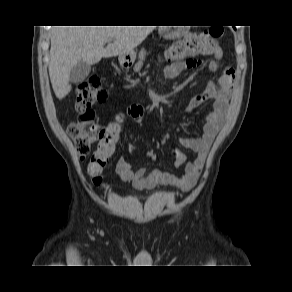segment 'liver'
<instances>
[{"mask_svg": "<svg viewBox=\"0 0 292 292\" xmlns=\"http://www.w3.org/2000/svg\"><path fill=\"white\" fill-rule=\"evenodd\" d=\"M152 26H55L51 32L49 76L57 98L71 90L69 74L80 61L96 64L103 57L125 55L140 45ZM113 42L104 45L107 41Z\"/></svg>", "mask_w": 292, "mask_h": 292, "instance_id": "liver-1", "label": "liver"}]
</instances>
